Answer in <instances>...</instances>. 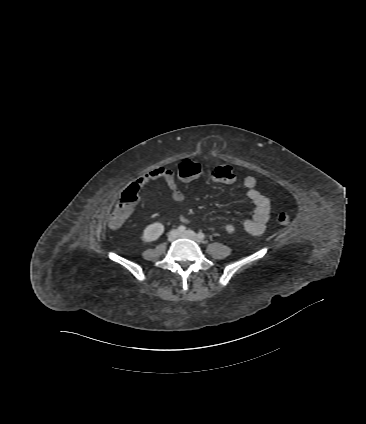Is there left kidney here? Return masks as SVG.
<instances>
[{"mask_svg": "<svg viewBox=\"0 0 366 424\" xmlns=\"http://www.w3.org/2000/svg\"><path fill=\"white\" fill-rule=\"evenodd\" d=\"M225 230H226L228 233H233V232H234V230H235V228L233 227V225L228 224V225H226V226H225Z\"/></svg>", "mask_w": 366, "mask_h": 424, "instance_id": "5707ae66", "label": "left kidney"}]
</instances>
